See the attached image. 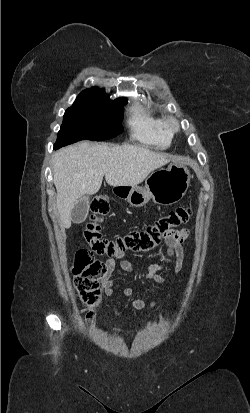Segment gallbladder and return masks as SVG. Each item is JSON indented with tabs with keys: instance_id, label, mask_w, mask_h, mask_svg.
Returning <instances> with one entry per match:
<instances>
[{
	"instance_id": "bac80fb5",
	"label": "gallbladder",
	"mask_w": 250,
	"mask_h": 413,
	"mask_svg": "<svg viewBox=\"0 0 250 413\" xmlns=\"http://www.w3.org/2000/svg\"><path fill=\"white\" fill-rule=\"evenodd\" d=\"M89 211V196L85 195L78 200L71 212V220L76 224L84 222Z\"/></svg>"
}]
</instances>
